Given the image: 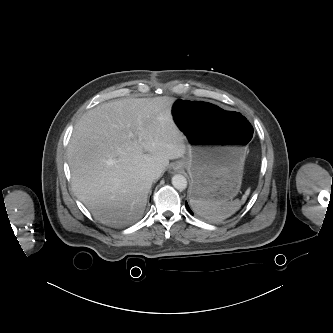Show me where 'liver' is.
Segmentation results:
<instances>
[{"label": "liver", "mask_w": 333, "mask_h": 333, "mask_svg": "<svg viewBox=\"0 0 333 333\" xmlns=\"http://www.w3.org/2000/svg\"><path fill=\"white\" fill-rule=\"evenodd\" d=\"M174 102L166 96L105 102L74 126L67 150L72 187L102 223L140 219L152 186L141 173L161 175L169 160L184 157L186 141L171 113Z\"/></svg>", "instance_id": "obj_1"}]
</instances>
